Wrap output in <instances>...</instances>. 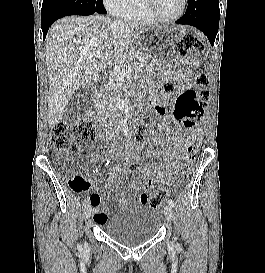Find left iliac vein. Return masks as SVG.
I'll list each match as a JSON object with an SVG mask.
<instances>
[{
    "mask_svg": "<svg viewBox=\"0 0 265 273\" xmlns=\"http://www.w3.org/2000/svg\"><path fill=\"white\" fill-rule=\"evenodd\" d=\"M165 216L168 221H172L174 218V211L171 206L165 207Z\"/></svg>",
    "mask_w": 265,
    "mask_h": 273,
    "instance_id": "left-iliac-vein-1",
    "label": "left iliac vein"
}]
</instances>
